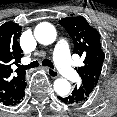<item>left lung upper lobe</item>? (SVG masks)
<instances>
[{
  "mask_svg": "<svg viewBox=\"0 0 117 117\" xmlns=\"http://www.w3.org/2000/svg\"><path fill=\"white\" fill-rule=\"evenodd\" d=\"M59 23L73 39V52L84 58V66L76 68L82 80L75 88L81 89L88 99L98 84L105 57L101 49L100 35L82 16L64 18Z\"/></svg>",
  "mask_w": 117,
  "mask_h": 117,
  "instance_id": "5c2ea615",
  "label": "left lung upper lobe"
}]
</instances>
